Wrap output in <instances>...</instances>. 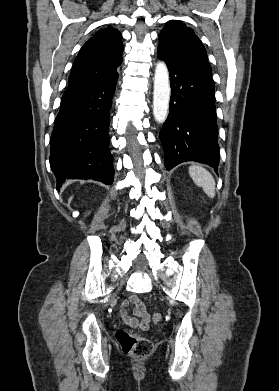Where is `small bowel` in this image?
Here are the masks:
<instances>
[{
	"mask_svg": "<svg viewBox=\"0 0 279 391\" xmlns=\"http://www.w3.org/2000/svg\"><path fill=\"white\" fill-rule=\"evenodd\" d=\"M129 304H133L135 317L128 315L126 307ZM119 316L124 323L133 328H140L146 330L150 324V315L147 311L145 304L135 295L130 296L128 299L123 300L120 304L118 311Z\"/></svg>",
	"mask_w": 279,
	"mask_h": 391,
	"instance_id": "1",
	"label": "small bowel"
}]
</instances>
